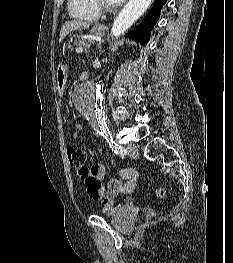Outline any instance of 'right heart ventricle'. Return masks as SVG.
<instances>
[{
    "mask_svg": "<svg viewBox=\"0 0 233 263\" xmlns=\"http://www.w3.org/2000/svg\"><path fill=\"white\" fill-rule=\"evenodd\" d=\"M68 9L72 17L87 21L96 19L100 13L94 0H68Z\"/></svg>",
    "mask_w": 233,
    "mask_h": 263,
    "instance_id": "e07e8e85",
    "label": "right heart ventricle"
}]
</instances>
